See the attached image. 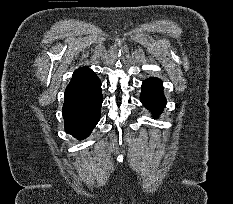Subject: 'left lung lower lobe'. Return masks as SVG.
<instances>
[{"instance_id":"left-lung-lower-lobe-1","label":"left lung lower lobe","mask_w":233,"mask_h":204,"mask_svg":"<svg viewBox=\"0 0 233 204\" xmlns=\"http://www.w3.org/2000/svg\"><path fill=\"white\" fill-rule=\"evenodd\" d=\"M140 99L142 104L155 115L160 113L166 105L162 81L153 77L145 80L142 83Z\"/></svg>"}]
</instances>
